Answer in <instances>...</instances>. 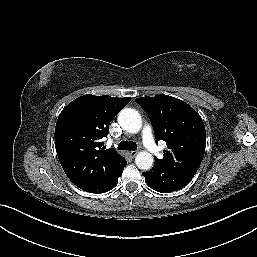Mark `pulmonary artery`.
I'll return each instance as SVG.
<instances>
[{"mask_svg":"<svg viewBox=\"0 0 257 257\" xmlns=\"http://www.w3.org/2000/svg\"><path fill=\"white\" fill-rule=\"evenodd\" d=\"M141 137L145 148L153 155L158 153V147L154 141L153 132L150 126L145 125L141 130Z\"/></svg>","mask_w":257,"mask_h":257,"instance_id":"obj_1","label":"pulmonary artery"}]
</instances>
